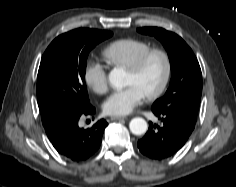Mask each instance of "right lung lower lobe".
I'll list each match as a JSON object with an SVG mask.
<instances>
[{
  "instance_id": "98d812e1",
  "label": "right lung lower lobe",
  "mask_w": 236,
  "mask_h": 187,
  "mask_svg": "<svg viewBox=\"0 0 236 187\" xmlns=\"http://www.w3.org/2000/svg\"><path fill=\"white\" fill-rule=\"evenodd\" d=\"M95 112V108L90 105L83 113L63 122L54 130L49 139L59 154L73 162L85 161L95 154L108 123L102 119L89 129L78 126L80 117Z\"/></svg>"
}]
</instances>
